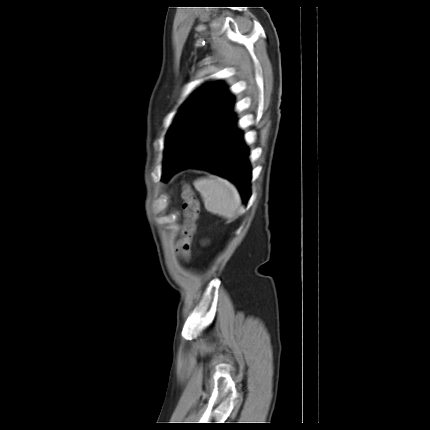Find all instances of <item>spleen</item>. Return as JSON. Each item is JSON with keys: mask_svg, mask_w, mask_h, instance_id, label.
<instances>
[{"mask_svg": "<svg viewBox=\"0 0 430 430\" xmlns=\"http://www.w3.org/2000/svg\"><path fill=\"white\" fill-rule=\"evenodd\" d=\"M193 184L200 192L208 212L230 217L239 211L241 199L236 187L229 181L220 177L200 178Z\"/></svg>", "mask_w": 430, "mask_h": 430, "instance_id": "spleen-1", "label": "spleen"}]
</instances>
